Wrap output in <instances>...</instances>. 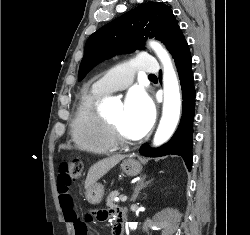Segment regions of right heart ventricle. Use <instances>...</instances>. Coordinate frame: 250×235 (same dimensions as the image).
Listing matches in <instances>:
<instances>
[{
	"label": "right heart ventricle",
	"instance_id": "right-heart-ventricle-1",
	"mask_svg": "<svg viewBox=\"0 0 250 235\" xmlns=\"http://www.w3.org/2000/svg\"><path fill=\"white\" fill-rule=\"evenodd\" d=\"M106 95L92 87L82 95L74 112L71 132L76 146L89 153L105 154L115 151L110 128L99 111V103Z\"/></svg>",
	"mask_w": 250,
	"mask_h": 235
}]
</instances>
